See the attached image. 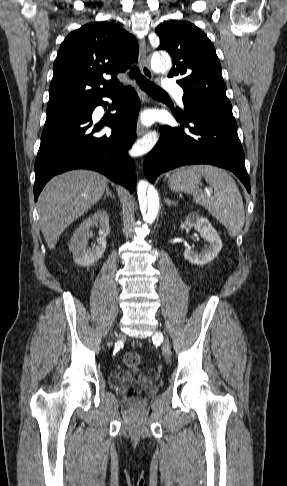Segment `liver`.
Masks as SVG:
<instances>
[{"label": "liver", "mask_w": 287, "mask_h": 486, "mask_svg": "<svg viewBox=\"0 0 287 486\" xmlns=\"http://www.w3.org/2000/svg\"><path fill=\"white\" fill-rule=\"evenodd\" d=\"M108 179L89 170H73L51 179L38 199L40 228L49 249L63 231L104 194Z\"/></svg>", "instance_id": "liver-1"}]
</instances>
